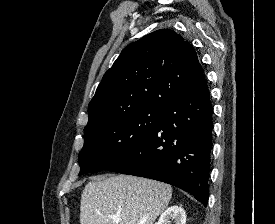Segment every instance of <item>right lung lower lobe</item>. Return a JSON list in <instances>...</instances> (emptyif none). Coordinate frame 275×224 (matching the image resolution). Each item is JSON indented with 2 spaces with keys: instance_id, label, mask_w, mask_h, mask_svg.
Here are the masks:
<instances>
[{
  "instance_id": "98d812e1",
  "label": "right lung lower lobe",
  "mask_w": 275,
  "mask_h": 224,
  "mask_svg": "<svg viewBox=\"0 0 275 224\" xmlns=\"http://www.w3.org/2000/svg\"><path fill=\"white\" fill-rule=\"evenodd\" d=\"M212 105L204 75L171 103L152 133L107 170L146 177L191 193L205 207L212 148Z\"/></svg>"
}]
</instances>
